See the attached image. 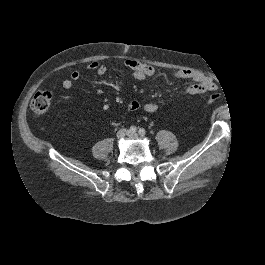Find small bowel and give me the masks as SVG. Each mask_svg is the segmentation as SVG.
<instances>
[{"mask_svg": "<svg viewBox=\"0 0 265 265\" xmlns=\"http://www.w3.org/2000/svg\"><path fill=\"white\" fill-rule=\"evenodd\" d=\"M124 65L133 72V76L137 80H146L156 75V70L153 66L137 60L127 59L124 61ZM85 69L88 71H94L100 76L104 75L107 71L106 65L97 61L86 64ZM174 76L180 79H189L194 82L183 91L184 95L204 94L208 91L216 89V85L212 79L196 71L179 70L174 73ZM79 78L80 72L78 70H73L70 73L69 78L62 82V87L67 90L71 89L74 81L78 80ZM97 93L102 94V90L98 89ZM128 108L131 111L143 108L148 113H155L159 110V105L155 103L142 104L139 100L133 99L129 101Z\"/></svg>", "mask_w": 265, "mask_h": 265, "instance_id": "1", "label": "small bowel"}]
</instances>
